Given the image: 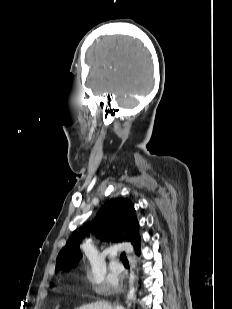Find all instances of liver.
Listing matches in <instances>:
<instances>
[{
    "label": "liver",
    "instance_id": "6515ba94",
    "mask_svg": "<svg viewBox=\"0 0 232 309\" xmlns=\"http://www.w3.org/2000/svg\"><path fill=\"white\" fill-rule=\"evenodd\" d=\"M77 309H113L112 306L105 301H99L91 304H87L84 306H81Z\"/></svg>",
    "mask_w": 232,
    "mask_h": 309
}]
</instances>
